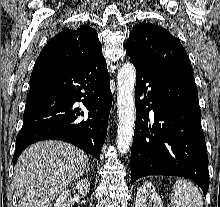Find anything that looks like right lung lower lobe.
Returning <instances> with one entry per match:
<instances>
[{
    "label": "right lung lower lobe",
    "mask_w": 220,
    "mask_h": 207,
    "mask_svg": "<svg viewBox=\"0 0 220 207\" xmlns=\"http://www.w3.org/2000/svg\"><path fill=\"white\" fill-rule=\"evenodd\" d=\"M30 82L13 163L27 146L47 139L74 144L98 159L112 106L105 58L73 69H35Z\"/></svg>",
    "instance_id": "right-lung-lower-lobe-1"
}]
</instances>
